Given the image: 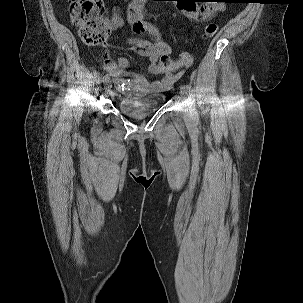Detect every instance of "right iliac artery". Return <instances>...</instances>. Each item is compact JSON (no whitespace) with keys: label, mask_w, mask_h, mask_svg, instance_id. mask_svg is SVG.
I'll return each mask as SVG.
<instances>
[{"label":"right iliac artery","mask_w":303,"mask_h":303,"mask_svg":"<svg viewBox=\"0 0 303 303\" xmlns=\"http://www.w3.org/2000/svg\"><path fill=\"white\" fill-rule=\"evenodd\" d=\"M102 81L104 83L107 82V81H109V75L108 74L104 75L103 78H102Z\"/></svg>","instance_id":"obj_1"}]
</instances>
